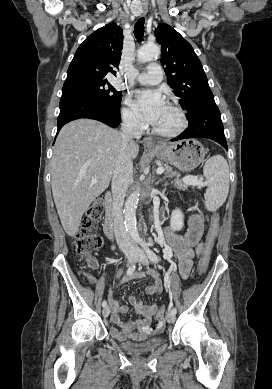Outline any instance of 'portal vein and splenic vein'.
<instances>
[{
  "label": "portal vein and splenic vein",
  "instance_id": "1",
  "mask_svg": "<svg viewBox=\"0 0 272 389\" xmlns=\"http://www.w3.org/2000/svg\"><path fill=\"white\" fill-rule=\"evenodd\" d=\"M164 172V168L163 167H158L157 168V170H156V173L157 174H162ZM97 182V180L96 179H92V183H96ZM184 182H186V183H192V184H194V185H196V186H204V183L202 182V181H200V180H198V178L197 177H186V178H184Z\"/></svg>",
  "mask_w": 272,
  "mask_h": 389
}]
</instances>
